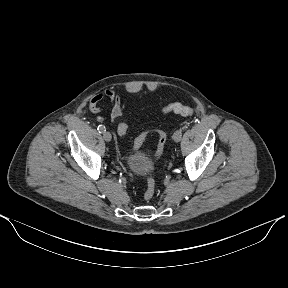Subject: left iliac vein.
Returning <instances> with one entry per match:
<instances>
[{
    "label": "left iliac vein",
    "mask_w": 288,
    "mask_h": 288,
    "mask_svg": "<svg viewBox=\"0 0 288 288\" xmlns=\"http://www.w3.org/2000/svg\"><path fill=\"white\" fill-rule=\"evenodd\" d=\"M182 138V132H180L179 130H176L173 134V139L175 142H179Z\"/></svg>",
    "instance_id": "left-iliac-vein-1"
}]
</instances>
